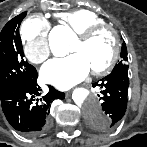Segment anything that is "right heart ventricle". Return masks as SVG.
Masks as SVG:
<instances>
[{
  "mask_svg": "<svg viewBox=\"0 0 147 147\" xmlns=\"http://www.w3.org/2000/svg\"><path fill=\"white\" fill-rule=\"evenodd\" d=\"M57 18L75 34H80L93 26L105 24L103 18L88 9L60 13L57 15Z\"/></svg>",
  "mask_w": 147,
  "mask_h": 147,
  "instance_id": "e07e8e85",
  "label": "right heart ventricle"
}]
</instances>
